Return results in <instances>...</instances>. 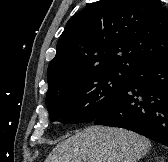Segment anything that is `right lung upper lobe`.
<instances>
[{
	"label": "right lung upper lobe",
	"instance_id": "1",
	"mask_svg": "<svg viewBox=\"0 0 168 162\" xmlns=\"http://www.w3.org/2000/svg\"><path fill=\"white\" fill-rule=\"evenodd\" d=\"M166 57L168 9L160 0H100L67 22L47 70L49 89L93 74L130 75Z\"/></svg>",
	"mask_w": 168,
	"mask_h": 162
}]
</instances>
